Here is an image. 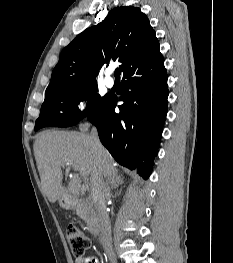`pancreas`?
I'll use <instances>...</instances> for the list:
<instances>
[{
    "mask_svg": "<svg viewBox=\"0 0 233 263\" xmlns=\"http://www.w3.org/2000/svg\"><path fill=\"white\" fill-rule=\"evenodd\" d=\"M76 214L82 218L88 225H91L93 222V214L92 211L83 206L76 207Z\"/></svg>",
    "mask_w": 233,
    "mask_h": 263,
    "instance_id": "1",
    "label": "pancreas"
}]
</instances>
